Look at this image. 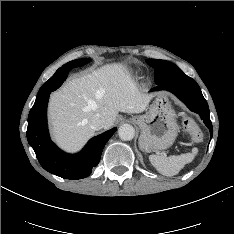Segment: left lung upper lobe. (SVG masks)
Returning a JSON list of instances; mask_svg holds the SVG:
<instances>
[{
    "label": "left lung upper lobe",
    "mask_w": 234,
    "mask_h": 234,
    "mask_svg": "<svg viewBox=\"0 0 234 234\" xmlns=\"http://www.w3.org/2000/svg\"><path fill=\"white\" fill-rule=\"evenodd\" d=\"M146 62L155 69L156 84L184 74L178 66L166 60L146 59Z\"/></svg>",
    "instance_id": "5c2ea615"
}]
</instances>
